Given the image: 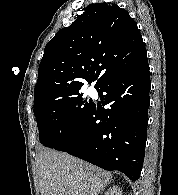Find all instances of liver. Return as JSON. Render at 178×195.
Returning a JSON list of instances; mask_svg holds the SVG:
<instances>
[{
  "label": "liver",
  "mask_w": 178,
  "mask_h": 195,
  "mask_svg": "<svg viewBox=\"0 0 178 195\" xmlns=\"http://www.w3.org/2000/svg\"><path fill=\"white\" fill-rule=\"evenodd\" d=\"M41 195H99L111 173L67 153L44 149L36 161Z\"/></svg>",
  "instance_id": "6515ba94"
}]
</instances>
